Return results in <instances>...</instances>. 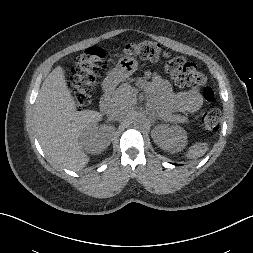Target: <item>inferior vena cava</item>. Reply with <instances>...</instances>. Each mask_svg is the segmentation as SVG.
Here are the masks:
<instances>
[{
    "instance_id": "inferior-vena-cava-1",
    "label": "inferior vena cava",
    "mask_w": 253,
    "mask_h": 253,
    "mask_svg": "<svg viewBox=\"0 0 253 253\" xmlns=\"http://www.w3.org/2000/svg\"><path fill=\"white\" fill-rule=\"evenodd\" d=\"M128 102L126 104L122 103H112L107 110V117L110 121L121 120L127 113Z\"/></svg>"
}]
</instances>
